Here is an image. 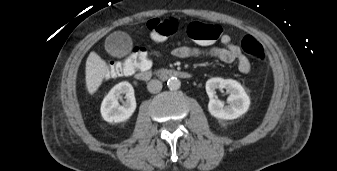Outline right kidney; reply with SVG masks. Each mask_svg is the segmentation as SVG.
<instances>
[{
	"mask_svg": "<svg viewBox=\"0 0 337 171\" xmlns=\"http://www.w3.org/2000/svg\"><path fill=\"white\" fill-rule=\"evenodd\" d=\"M125 94L126 101L120 105L118 100ZM136 109L134 89L129 82H120L105 96L101 104V115L107 122H123L128 120Z\"/></svg>",
	"mask_w": 337,
	"mask_h": 171,
	"instance_id": "ca27d5eb",
	"label": "right kidney"
}]
</instances>
